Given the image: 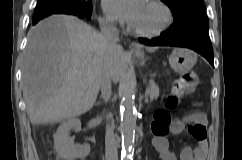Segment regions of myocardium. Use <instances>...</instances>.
Returning a JSON list of instances; mask_svg holds the SVG:
<instances>
[{
  "mask_svg": "<svg viewBox=\"0 0 242 160\" xmlns=\"http://www.w3.org/2000/svg\"><path fill=\"white\" fill-rule=\"evenodd\" d=\"M151 4L160 8L164 14L163 22L159 27L153 30L139 29L134 26L131 27L132 31L142 37L154 38L163 34L173 23V12L170 6L163 0H148Z\"/></svg>",
  "mask_w": 242,
  "mask_h": 160,
  "instance_id": "myocardium-1",
  "label": "myocardium"
}]
</instances>
